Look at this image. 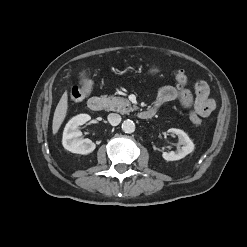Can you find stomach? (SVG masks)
<instances>
[{
    "label": "stomach",
    "mask_w": 247,
    "mask_h": 247,
    "mask_svg": "<svg viewBox=\"0 0 247 247\" xmlns=\"http://www.w3.org/2000/svg\"><path fill=\"white\" fill-rule=\"evenodd\" d=\"M160 70L157 67H154L150 70L152 74H157Z\"/></svg>",
    "instance_id": "obj_1"
}]
</instances>
